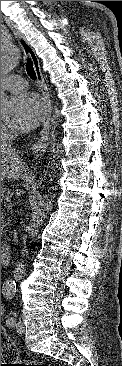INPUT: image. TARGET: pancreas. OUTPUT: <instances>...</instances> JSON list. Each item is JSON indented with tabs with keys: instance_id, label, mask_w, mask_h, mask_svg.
Returning <instances> with one entry per match:
<instances>
[{
	"instance_id": "cf45deb5",
	"label": "pancreas",
	"mask_w": 122,
	"mask_h": 366,
	"mask_svg": "<svg viewBox=\"0 0 122 366\" xmlns=\"http://www.w3.org/2000/svg\"><path fill=\"white\" fill-rule=\"evenodd\" d=\"M6 188L5 186H1V201L2 199L6 196ZM5 227V225L1 224V234H2V229Z\"/></svg>"
}]
</instances>
